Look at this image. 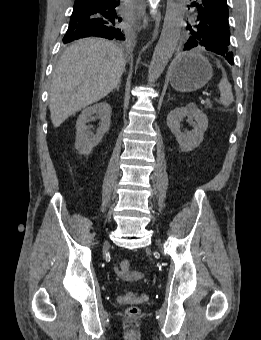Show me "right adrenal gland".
<instances>
[{
  "mask_svg": "<svg viewBox=\"0 0 261 340\" xmlns=\"http://www.w3.org/2000/svg\"><path fill=\"white\" fill-rule=\"evenodd\" d=\"M120 84H121V82L119 81L118 84H117V86H116V90H117V91H119Z\"/></svg>",
  "mask_w": 261,
  "mask_h": 340,
  "instance_id": "right-adrenal-gland-1",
  "label": "right adrenal gland"
}]
</instances>
